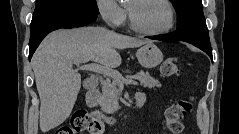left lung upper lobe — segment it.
<instances>
[{"label":"left lung upper lobe","instance_id":"1","mask_svg":"<svg viewBox=\"0 0 239 134\" xmlns=\"http://www.w3.org/2000/svg\"><path fill=\"white\" fill-rule=\"evenodd\" d=\"M177 13V31L188 28L207 29L201 0H170Z\"/></svg>","mask_w":239,"mask_h":134}]
</instances>
